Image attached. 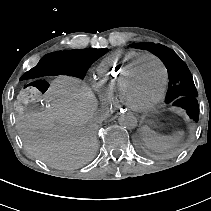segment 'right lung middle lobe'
Listing matches in <instances>:
<instances>
[{"label": "right lung middle lobe", "instance_id": "dd1d6c3e", "mask_svg": "<svg viewBox=\"0 0 211 211\" xmlns=\"http://www.w3.org/2000/svg\"><path fill=\"white\" fill-rule=\"evenodd\" d=\"M81 51L83 52L84 57L81 71L78 73L77 77L83 79L90 65L99 57L103 56L108 49H84Z\"/></svg>", "mask_w": 211, "mask_h": 211}]
</instances>
